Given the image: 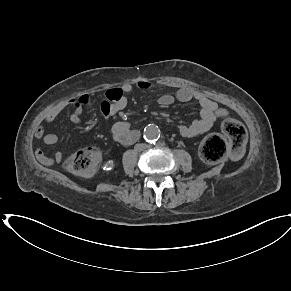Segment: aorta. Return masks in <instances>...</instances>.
<instances>
[{
	"label": "aorta",
	"instance_id": "obj_1",
	"mask_svg": "<svg viewBox=\"0 0 291 291\" xmlns=\"http://www.w3.org/2000/svg\"><path fill=\"white\" fill-rule=\"evenodd\" d=\"M160 137V130L158 126L149 124L144 129V138L147 142H154Z\"/></svg>",
	"mask_w": 291,
	"mask_h": 291
}]
</instances>
